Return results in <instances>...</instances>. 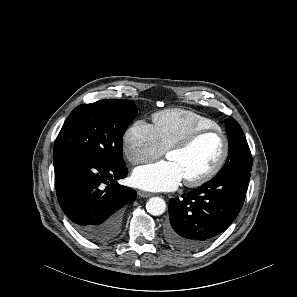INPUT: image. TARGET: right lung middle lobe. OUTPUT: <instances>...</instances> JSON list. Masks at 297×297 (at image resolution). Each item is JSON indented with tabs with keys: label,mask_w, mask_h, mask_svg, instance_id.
<instances>
[{
	"label": "right lung middle lobe",
	"mask_w": 297,
	"mask_h": 297,
	"mask_svg": "<svg viewBox=\"0 0 297 297\" xmlns=\"http://www.w3.org/2000/svg\"><path fill=\"white\" fill-rule=\"evenodd\" d=\"M136 112L134 102L117 99L76 107L57 136L53 156L79 154L112 165H125L122 136Z\"/></svg>",
	"instance_id": "obj_1"
}]
</instances>
